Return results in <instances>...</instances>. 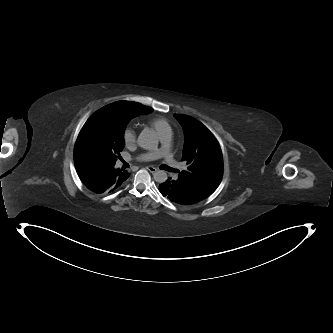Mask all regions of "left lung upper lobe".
Returning <instances> with one entry per match:
<instances>
[{"label":"left lung upper lobe","instance_id":"1","mask_svg":"<svg viewBox=\"0 0 333 333\" xmlns=\"http://www.w3.org/2000/svg\"><path fill=\"white\" fill-rule=\"evenodd\" d=\"M184 130L182 160L186 169L178 171L176 179L203 199L219 186L223 173L221 149L212 133L200 122L187 115L175 114Z\"/></svg>","mask_w":333,"mask_h":333}]
</instances>
